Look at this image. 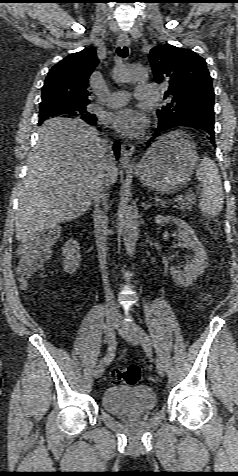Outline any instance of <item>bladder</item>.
Masks as SVG:
<instances>
[{"instance_id": "bladder-1", "label": "bladder", "mask_w": 238, "mask_h": 476, "mask_svg": "<svg viewBox=\"0 0 238 476\" xmlns=\"http://www.w3.org/2000/svg\"><path fill=\"white\" fill-rule=\"evenodd\" d=\"M154 391L146 385H114L101 396L102 408L113 415H136L149 412L156 406Z\"/></svg>"}]
</instances>
